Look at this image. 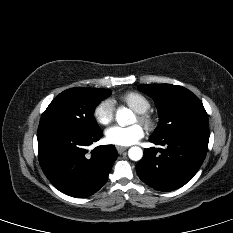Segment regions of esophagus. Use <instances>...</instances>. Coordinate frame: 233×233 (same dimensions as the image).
I'll list each match as a JSON object with an SVG mask.
<instances>
[{
  "label": "esophagus",
  "instance_id": "esophagus-1",
  "mask_svg": "<svg viewBox=\"0 0 233 233\" xmlns=\"http://www.w3.org/2000/svg\"><path fill=\"white\" fill-rule=\"evenodd\" d=\"M116 149H117L118 153H122V152H124V151H126V150H127V147H123V146H116Z\"/></svg>",
  "mask_w": 233,
  "mask_h": 233
}]
</instances>
